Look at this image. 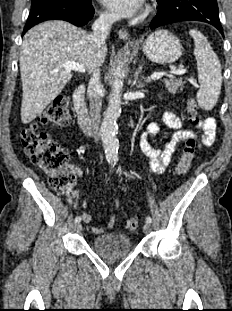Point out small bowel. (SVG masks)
Listing matches in <instances>:
<instances>
[{
    "instance_id": "obj_1",
    "label": "small bowel",
    "mask_w": 232,
    "mask_h": 311,
    "mask_svg": "<svg viewBox=\"0 0 232 311\" xmlns=\"http://www.w3.org/2000/svg\"><path fill=\"white\" fill-rule=\"evenodd\" d=\"M162 121L165 126L173 130L165 146L162 148H153L148 141L149 136H158L162 133L161 126L156 123H150L140 138V147L150 157L149 165L151 171L154 173L159 174L166 170L179 142L191 137L198 139L192 128H201L203 130L202 138L199 140L202 146L209 147L213 145L215 141L216 122L213 118H205L198 121L196 124L187 125L184 119L177 116L175 113L165 111L162 115ZM69 202L72 203V200L69 199ZM115 206L118 207L119 203L116 202ZM83 220L89 223L91 221V216L87 212H83ZM114 224L115 216H112L108 222V227H113ZM92 232L98 235L101 234L103 230L99 227H94Z\"/></svg>"
}]
</instances>
